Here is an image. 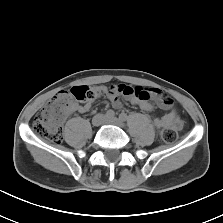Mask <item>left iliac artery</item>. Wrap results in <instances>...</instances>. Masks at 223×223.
<instances>
[{
    "label": "left iliac artery",
    "mask_w": 223,
    "mask_h": 223,
    "mask_svg": "<svg viewBox=\"0 0 223 223\" xmlns=\"http://www.w3.org/2000/svg\"><path fill=\"white\" fill-rule=\"evenodd\" d=\"M119 119L125 121V120L127 119V115L124 114V113H121V114L119 115Z\"/></svg>",
    "instance_id": "left-iliac-artery-1"
}]
</instances>
